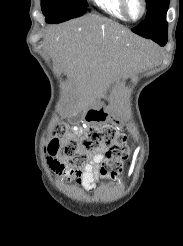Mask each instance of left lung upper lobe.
Returning <instances> with one entry per match:
<instances>
[{
	"label": "left lung upper lobe",
	"instance_id": "left-lung-upper-lobe-1",
	"mask_svg": "<svg viewBox=\"0 0 183 246\" xmlns=\"http://www.w3.org/2000/svg\"><path fill=\"white\" fill-rule=\"evenodd\" d=\"M147 15L132 31L142 37L152 38L167 34L166 13L170 0H145Z\"/></svg>",
	"mask_w": 183,
	"mask_h": 246
}]
</instances>
